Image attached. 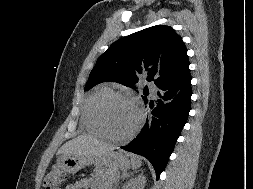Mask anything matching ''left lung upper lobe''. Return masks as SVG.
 <instances>
[{"label": "left lung upper lobe", "instance_id": "obj_1", "mask_svg": "<svg viewBox=\"0 0 253 189\" xmlns=\"http://www.w3.org/2000/svg\"><path fill=\"white\" fill-rule=\"evenodd\" d=\"M186 58L187 49L174 29L152 26L114 42L98 58L84 90L106 81L133 88L141 73H146L147 81H154L159 87L177 72ZM142 98L148 102L147 97Z\"/></svg>", "mask_w": 253, "mask_h": 189}]
</instances>
